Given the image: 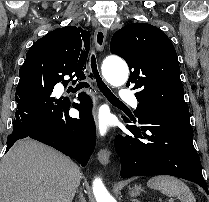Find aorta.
<instances>
[{
  "label": "aorta",
  "instance_id": "aorta-1",
  "mask_svg": "<svg viewBox=\"0 0 209 202\" xmlns=\"http://www.w3.org/2000/svg\"><path fill=\"white\" fill-rule=\"evenodd\" d=\"M103 75L111 85L122 86L128 79L129 70L121 59L108 57L104 62ZM92 188L96 202H116L99 177L93 181Z\"/></svg>",
  "mask_w": 209,
  "mask_h": 202
}]
</instances>
